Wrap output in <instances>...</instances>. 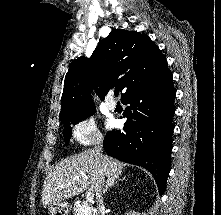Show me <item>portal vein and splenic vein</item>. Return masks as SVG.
<instances>
[{
    "label": "portal vein and splenic vein",
    "instance_id": "1",
    "mask_svg": "<svg viewBox=\"0 0 221 215\" xmlns=\"http://www.w3.org/2000/svg\"><path fill=\"white\" fill-rule=\"evenodd\" d=\"M92 197H93V192H88L87 195H86V200L91 201Z\"/></svg>",
    "mask_w": 221,
    "mask_h": 215
}]
</instances>
